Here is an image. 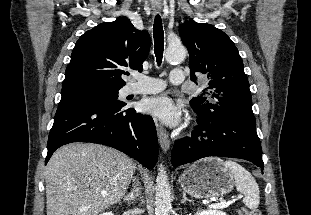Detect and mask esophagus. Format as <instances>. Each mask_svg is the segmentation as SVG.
Segmentation results:
<instances>
[{"instance_id":"1","label":"esophagus","mask_w":311,"mask_h":215,"mask_svg":"<svg viewBox=\"0 0 311 215\" xmlns=\"http://www.w3.org/2000/svg\"><path fill=\"white\" fill-rule=\"evenodd\" d=\"M154 13H159L161 11L160 6H153ZM157 135L160 147L164 152H167L170 148V140L168 132L164 129L163 126H161L157 121H155Z\"/></svg>"}]
</instances>
